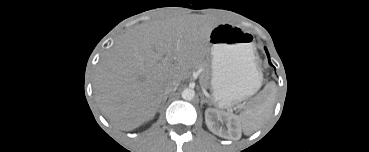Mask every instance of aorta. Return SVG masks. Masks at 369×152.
I'll list each match as a JSON object with an SVG mask.
<instances>
[{
    "instance_id": "1",
    "label": "aorta",
    "mask_w": 369,
    "mask_h": 152,
    "mask_svg": "<svg viewBox=\"0 0 369 152\" xmlns=\"http://www.w3.org/2000/svg\"><path fill=\"white\" fill-rule=\"evenodd\" d=\"M181 96L184 100H192L195 96L194 89L186 88L182 91Z\"/></svg>"
}]
</instances>
